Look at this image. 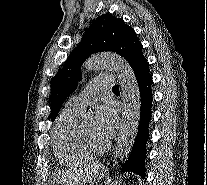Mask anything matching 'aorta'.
Returning <instances> with one entry per match:
<instances>
[{
  "instance_id": "762f6f07",
  "label": "aorta",
  "mask_w": 207,
  "mask_h": 185,
  "mask_svg": "<svg viewBox=\"0 0 207 185\" xmlns=\"http://www.w3.org/2000/svg\"><path fill=\"white\" fill-rule=\"evenodd\" d=\"M83 66L87 71L111 69L119 76L123 110L120 131L113 155V164L118 169L119 164L128 157L133 147L140 120L141 101L135 74L124 58L113 53L93 55L87 59ZM111 183L115 184V176L112 177Z\"/></svg>"
}]
</instances>
